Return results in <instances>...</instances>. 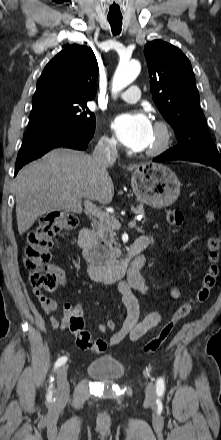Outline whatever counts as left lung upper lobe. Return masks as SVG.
Instances as JSON below:
<instances>
[{
  "mask_svg": "<svg viewBox=\"0 0 221 440\" xmlns=\"http://www.w3.org/2000/svg\"><path fill=\"white\" fill-rule=\"evenodd\" d=\"M153 100L175 131L179 144L170 150L184 160L221 164L199 105V93L190 61L175 46L162 40L145 45Z\"/></svg>",
  "mask_w": 221,
  "mask_h": 440,
  "instance_id": "1",
  "label": "left lung upper lobe"
}]
</instances>
